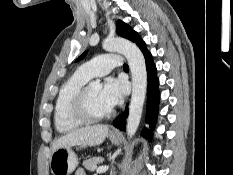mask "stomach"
Returning <instances> with one entry per match:
<instances>
[{
    "label": "stomach",
    "mask_w": 233,
    "mask_h": 175,
    "mask_svg": "<svg viewBox=\"0 0 233 175\" xmlns=\"http://www.w3.org/2000/svg\"><path fill=\"white\" fill-rule=\"evenodd\" d=\"M114 144L121 142L120 136L109 135ZM78 159L71 147H61L55 150L50 158V169L53 175H70L77 167Z\"/></svg>",
    "instance_id": "0dacf381"
}]
</instances>
